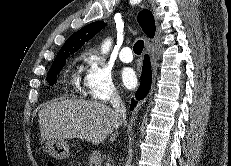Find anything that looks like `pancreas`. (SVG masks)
Wrapping results in <instances>:
<instances>
[{"mask_svg":"<svg viewBox=\"0 0 231 166\" xmlns=\"http://www.w3.org/2000/svg\"><path fill=\"white\" fill-rule=\"evenodd\" d=\"M102 158L99 151H92L88 157V166H101Z\"/></svg>","mask_w":231,"mask_h":166,"instance_id":"obj_1","label":"pancreas"}]
</instances>
